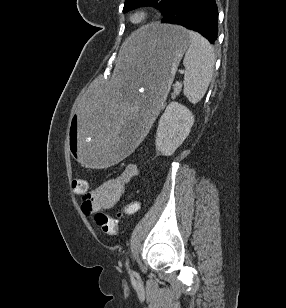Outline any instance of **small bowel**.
Instances as JSON below:
<instances>
[{"mask_svg": "<svg viewBox=\"0 0 286 308\" xmlns=\"http://www.w3.org/2000/svg\"><path fill=\"white\" fill-rule=\"evenodd\" d=\"M137 174L136 165L129 164L118 176L105 180L91 191L78 193L82 195L81 210L83 214L89 217L97 211L114 208L121 201L126 191V185Z\"/></svg>", "mask_w": 286, "mask_h": 308, "instance_id": "small-bowel-1", "label": "small bowel"}]
</instances>
